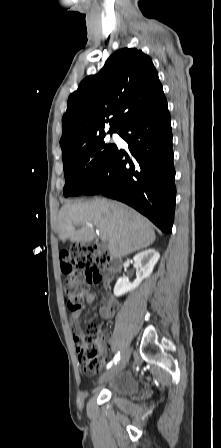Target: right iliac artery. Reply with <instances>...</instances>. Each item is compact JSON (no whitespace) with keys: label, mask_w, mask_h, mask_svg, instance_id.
<instances>
[{"label":"right iliac artery","mask_w":221,"mask_h":448,"mask_svg":"<svg viewBox=\"0 0 221 448\" xmlns=\"http://www.w3.org/2000/svg\"><path fill=\"white\" fill-rule=\"evenodd\" d=\"M119 360H120V352H118L115 355L113 361L108 364L107 368H110L112 365L116 364Z\"/></svg>","instance_id":"1"}]
</instances>
